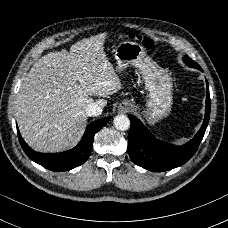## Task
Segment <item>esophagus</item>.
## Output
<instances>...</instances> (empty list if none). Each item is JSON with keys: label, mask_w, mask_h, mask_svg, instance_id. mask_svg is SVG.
<instances>
[{"label": "esophagus", "mask_w": 228, "mask_h": 228, "mask_svg": "<svg viewBox=\"0 0 228 228\" xmlns=\"http://www.w3.org/2000/svg\"><path fill=\"white\" fill-rule=\"evenodd\" d=\"M130 106L126 102H122L118 106V112L119 113H127L130 111Z\"/></svg>", "instance_id": "esophagus-1"}]
</instances>
